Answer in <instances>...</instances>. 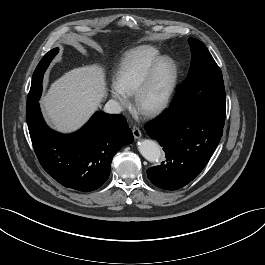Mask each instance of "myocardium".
<instances>
[{
    "label": "myocardium",
    "mask_w": 265,
    "mask_h": 265,
    "mask_svg": "<svg viewBox=\"0 0 265 265\" xmlns=\"http://www.w3.org/2000/svg\"><path fill=\"white\" fill-rule=\"evenodd\" d=\"M168 69V82L164 93L153 103H146V98L150 92L155 80L157 79L161 69ZM178 83V68L176 63L170 57H160L157 59L144 79L141 81L133 96L135 109L148 117H153L164 112L171 104Z\"/></svg>",
    "instance_id": "obj_1"
}]
</instances>
